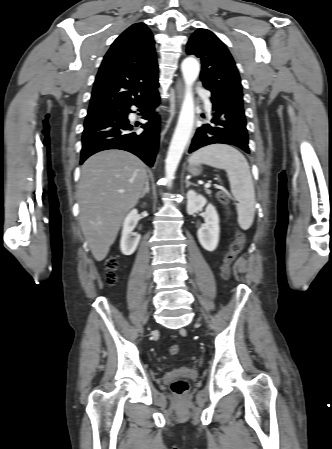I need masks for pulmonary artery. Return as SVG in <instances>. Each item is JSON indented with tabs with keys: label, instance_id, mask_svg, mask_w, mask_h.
<instances>
[{
	"label": "pulmonary artery",
	"instance_id": "obj_1",
	"mask_svg": "<svg viewBox=\"0 0 332 449\" xmlns=\"http://www.w3.org/2000/svg\"><path fill=\"white\" fill-rule=\"evenodd\" d=\"M200 94L205 97V107H206V109L210 110L211 104H210V101L208 100V98L206 97L207 96V92L204 91V90H200Z\"/></svg>",
	"mask_w": 332,
	"mask_h": 449
}]
</instances>
